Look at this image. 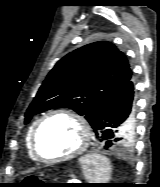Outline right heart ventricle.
Here are the masks:
<instances>
[{"instance_id":"obj_1","label":"right heart ventricle","mask_w":160,"mask_h":187,"mask_svg":"<svg viewBox=\"0 0 160 187\" xmlns=\"http://www.w3.org/2000/svg\"><path fill=\"white\" fill-rule=\"evenodd\" d=\"M36 122H34L28 128V130L26 132V136H25V147H26V151H27V154H28L29 158H31L32 160H36V157L34 156V154L32 152V149H31V135H32V131H33V128H34Z\"/></svg>"}]
</instances>
